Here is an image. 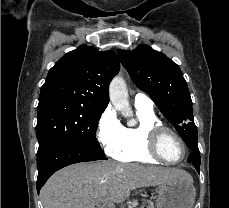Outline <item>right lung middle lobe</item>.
<instances>
[{"label": "right lung middle lobe", "instance_id": "right-lung-middle-lobe-1", "mask_svg": "<svg viewBox=\"0 0 229 208\" xmlns=\"http://www.w3.org/2000/svg\"><path fill=\"white\" fill-rule=\"evenodd\" d=\"M101 114L68 100H49L38 104L37 155L60 142H76L102 151L96 140Z\"/></svg>", "mask_w": 229, "mask_h": 208}]
</instances>
